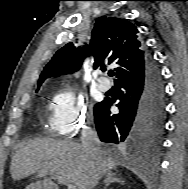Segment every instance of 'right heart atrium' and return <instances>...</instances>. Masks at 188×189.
I'll use <instances>...</instances> for the list:
<instances>
[{
  "mask_svg": "<svg viewBox=\"0 0 188 189\" xmlns=\"http://www.w3.org/2000/svg\"><path fill=\"white\" fill-rule=\"evenodd\" d=\"M88 124L86 102L69 89L59 90L52 99L50 127L58 135L80 132Z\"/></svg>",
  "mask_w": 188,
  "mask_h": 189,
  "instance_id": "1",
  "label": "right heart atrium"
}]
</instances>
